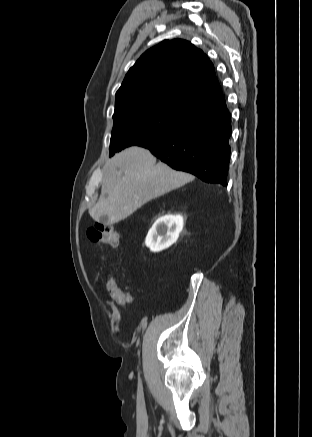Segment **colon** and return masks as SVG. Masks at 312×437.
Returning a JSON list of instances; mask_svg holds the SVG:
<instances>
[{
	"label": "colon",
	"instance_id": "5ec220e1",
	"mask_svg": "<svg viewBox=\"0 0 312 437\" xmlns=\"http://www.w3.org/2000/svg\"><path fill=\"white\" fill-rule=\"evenodd\" d=\"M88 238L96 243L117 247L120 241L119 232L109 224H98L87 231ZM104 288L108 295L120 305H125L129 301L128 294L120 289L113 279L104 282Z\"/></svg>",
	"mask_w": 312,
	"mask_h": 437
}]
</instances>
